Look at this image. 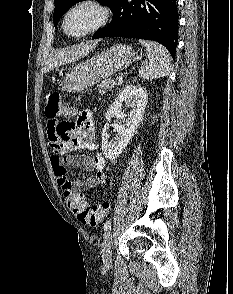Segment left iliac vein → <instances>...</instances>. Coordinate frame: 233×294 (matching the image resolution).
I'll return each mask as SVG.
<instances>
[{"label": "left iliac vein", "instance_id": "obj_1", "mask_svg": "<svg viewBox=\"0 0 233 294\" xmlns=\"http://www.w3.org/2000/svg\"><path fill=\"white\" fill-rule=\"evenodd\" d=\"M111 244H112V233L108 232L102 244V259L106 266H110L112 263Z\"/></svg>", "mask_w": 233, "mask_h": 294}]
</instances>
